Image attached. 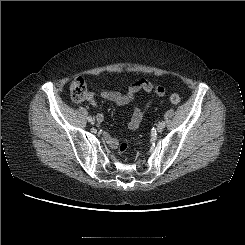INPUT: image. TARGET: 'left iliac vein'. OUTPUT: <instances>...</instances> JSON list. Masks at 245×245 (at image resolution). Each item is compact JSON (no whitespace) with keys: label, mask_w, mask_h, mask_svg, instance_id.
I'll use <instances>...</instances> for the list:
<instances>
[{"label":"left iliac vein","mask_w":245,"mask_h":245,"mask_svg":"<svg viewBox=\"0 0 245 245\" xmlns=\"http://www.w3.org/2000/svg\"><path fill=\"white\" fill-rule=\"evenodd\" d=\"M164 130V126L162 124H158L157 126V132H162Z\"/></svg>","instance_id":"4c4485c4"}]
</instances>
